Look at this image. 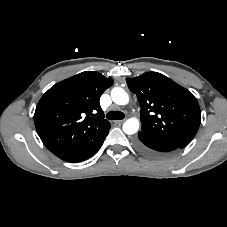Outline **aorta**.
<instances>
[{
    "label": "aorta",
    "mask_w": 227,
    "mask_h": 227,
    "mask_svg": "<svg viewBox=\"0 0 227 227\" xmlns=\"http://www.w3.org/2000/svg\"><path fill=\"white\" fill-rule=\"evenodd\" d=\"M111 98L114 103L118 105H127L129 103V96L127 92L119 87H115L111 91ZM123 131L128 135L136 133L139 129V120L135 117L129 118L123 124Z\"/></svg>",
    "instance_id": "obj_1"
}]
</instances>
